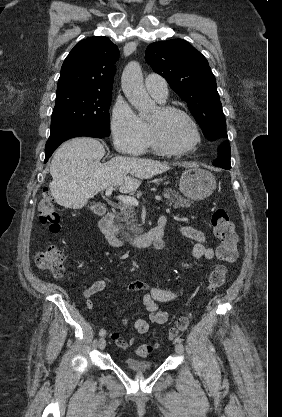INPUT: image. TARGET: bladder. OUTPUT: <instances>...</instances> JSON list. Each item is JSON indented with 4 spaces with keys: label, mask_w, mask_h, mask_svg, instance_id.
<instances>
[{
    "label": "bladder",
    "mask_w": 282,
    "mask_h": 417,
    "mask_svg": "<svg viewBox=\"0 0 282 417\" xmlns=\"http://www.w3.org/2000/svg\"><path fill=\"white\" fill-rule=\"evenodd\" d=\"M124 365L128 370L133 372H146L153 367L152 362L134 357H127L124 360Z\"/></svg>",
    "instance_id": "1"
}]
</instances>
